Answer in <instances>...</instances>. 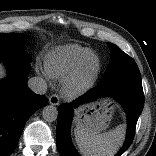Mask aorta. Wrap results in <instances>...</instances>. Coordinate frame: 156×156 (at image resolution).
<instances>
[{"instance_id":"1","label":"aorta","mask_w":156,"mask_h":156,"mask_svg":"<svg viewBox=\"0 0 156 156\" xmlns=\"http://www.w3.org/2000/svg\"><path fill=\"white\" fill-rule=\"evenodd\" d=\"M42 117L46 122H53L57 120L58 110L55 106H45L42 111Z\"/></svg>"}]
</instances>
